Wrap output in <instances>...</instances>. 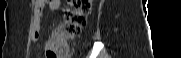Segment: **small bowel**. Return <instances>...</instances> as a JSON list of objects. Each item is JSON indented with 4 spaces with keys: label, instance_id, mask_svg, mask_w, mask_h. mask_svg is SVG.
Instances as JSON below:
<instances>
[{
    "label": "small bowel",
    "instance_id": "c3829d8e",
    "mask_svg": "<svg viewBox=\"0 0 181 58\" xmlns=\"http://www.w3.org/2000/svg\"><path fill=\"white\" fill-rule=\"evenodd\" d=\"M61 1L60 0H36L34 4V16H35V24H34V40H37L40 35V18L45 12L46 9L51 11H56L60 8ZM53 33L51 37L54 35ZM50 37V38H51Z\"/></svg>",
    "mask_w": 181,
    "mask_h": 58
}]
</instances>
